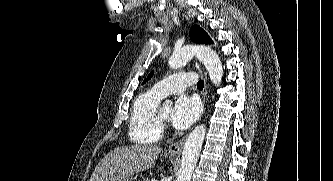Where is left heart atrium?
I'll return each mask as SVG.
<instances>
[{
  "instance_id": "left-heart-atrium-1",
  "label": "left heart atrium",
  "mask_w": 333,
  "mask_h": 181,
  "mask_svg": "<svg viewBox=\"0 0 333 181\" xmlns=\"http://www.w3.org/2000/svg\"><path fill=\"white\" fill-rule=\"evenodd\" d=\"M200 104L192 97L180 96L172 109L170 122L180 130L191 126L199 117Z\"/></svg>"
}]
</instances>
